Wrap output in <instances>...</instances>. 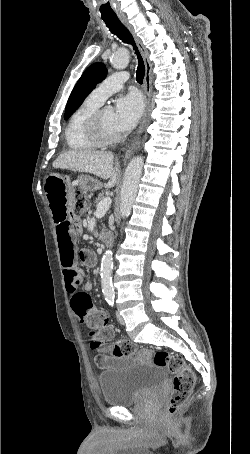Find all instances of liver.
Returning <instances> with one entry per match:
<instances>
[{
	"mask_svg": "<svg viewBox=\"0 0 250 454\" xmlns=\"http://www.w3.org/2000/svg\"><path fill=\"white\" fill-rule=\"evenodd\" d=\"M114 156L104 151H67L53 162L54 168L87 172L102 179H108L106 188L115 186L118 178V165L114 166Z\"/></svg>",
	"mask_w": 250,
	"mask_h": 454,
	"instance_id": "liver-1",
	"label": "liver"
}]
</instances>
